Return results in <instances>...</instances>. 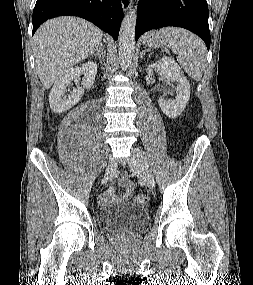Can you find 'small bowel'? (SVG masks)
Listing matches in <instances>:
<instances>
[{"label": "small bowel", "instance_id": "obj_1", "mask_svg": "<svg viewBox=\"0 0 253 285\" xmlns=\"http://www.w3.org/2000/svg\"><path fill=\"white\" fill-rule=\"evenodd\" d=\"M119 185L124 188V193L116 197L114 194V189L112 187L107 188L101 195V203L104 205H110L114 203L127 202L133 195L134 186L127 179L126 175H122L118 179Z\"/></svg>", "mask_w": 253, "mask_h": 285}]
</instances>
